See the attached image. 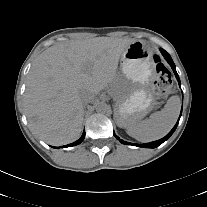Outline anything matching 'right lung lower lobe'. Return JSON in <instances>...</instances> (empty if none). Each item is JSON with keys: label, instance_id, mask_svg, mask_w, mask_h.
I'll use <instances>...</instances> for the list:
<instances>
[{"label": "right lung lower lobe", "instance_id": "98d812e1", "mask_svg": "<svg viewBox=\"0 0 207 207\" xmlns=\"http://www.w3.org/2000/svg\"><path fill=\"white\" fill-rule=\"evenodd\" d=\"M84 137H85V132H83V135L81 136V138H80L79 140H77V141H75L74 143H71V144H69V145L63 146V147H71V146L78 145V144H80V143L83 141ZM55 148H56V147H55ZM58 148H59V147H58Z\"/></svg>", "mask_w": 207, "mask_h": 207}]
</instances>
